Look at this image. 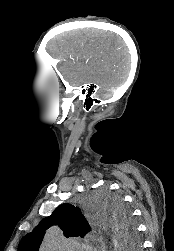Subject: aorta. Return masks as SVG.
<instances>
[{
    "label": "aorta",
    "mask_w": 174,
    "mask_h": 251,
    "mask_svg": "<svg viewBox=\"0 0 174 251\" xmlns=\"http://www.w3.org/2000/svg\"><path fill=\"white\" fill-rule=\"evenodd\" d=\"M101 227L109 228L111 230L112 236L115 240V247L118 251H133L130 244H127L126 240L122 239L121 232L118 231L116 222L113 218L103 220L100 222ZM63 238L60 231L56 228L50 229L44 239L45 250L49 251H60L62 250Z\"/></svg>",
    "instance_id": "1"
}]
</instances>
